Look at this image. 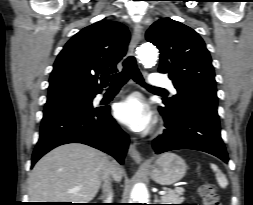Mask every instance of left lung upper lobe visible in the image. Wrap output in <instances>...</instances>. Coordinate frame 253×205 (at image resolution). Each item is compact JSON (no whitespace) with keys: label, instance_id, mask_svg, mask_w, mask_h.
Masks as SVG:
<instances>
[{"label":"left lung upper lobe","instance_id":"left-lung-upper-lobe-1","mask_svg":"<svg viewBox=\"0 0 253 205\" xmlns=\"http://www.w3.org/2000/svg\"><path fill=\"white\" fill-rule=\"evenodd\" d=\"M146 39L160 50V73H167L177 95L165 98L163 106L174 114L194 105L217 108L212 60L202 38L190 27L162 18L146 32Z\"/></svg>","mask_w":253,"mask_h":205}]
</instances>
